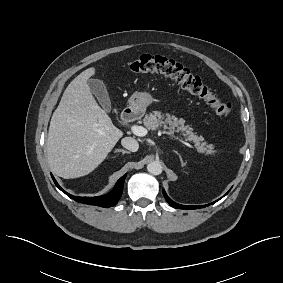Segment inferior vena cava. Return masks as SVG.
<instances>
[{
  "instance_id": "1",
  "label": "inferior vena cava",
  "mask_w": 283,
  "mask_h": 283,
  "mask_svg": "<svg viewBox=\"0 0 283 283\" xmlns=\"http://www.w3.org/2000/svg\"><path fill=\"white\" fill-rule=\"evenodd\" d=\"M121 144L124 148L136 152L139 148L138 142L132 137H125L121 140Z\"/></svg>"
}]
</instances>
